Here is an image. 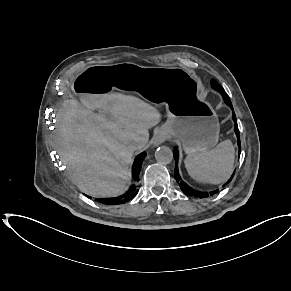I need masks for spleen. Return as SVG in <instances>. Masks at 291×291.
<instances>
[{
    "label": "spleen",
    "mask_w": 291,
    "mask_h": 291,
    "mask_svg": "<svg viewBox=\"0 0 291 291\" xmlns=\"http://www.w3.org/2000/svg\"><path fill=\"white\" fill-rule=\"evenodd\" d=\"M234 158L232 142L225 140L209 151L188 154L184 163L193 179L203 183L219 184L230 177Z\"/></svg>",
    "instance_id": "1"
}]
</instances>
